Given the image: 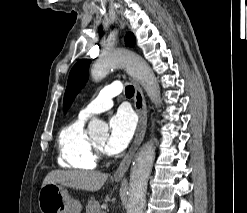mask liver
<instances>
[{
	"instance_id": "6515ba94",
	"label": "liver",
	"mask_w": 247,
	"mask_h": 213,
	"mask_svg": "<svg viewBox=\"0 0 247 213\" xmlns=\"http://www.w3.org/2000/svg\"><path fill=\"white\" fill-rule=\"evenodd\" d=\"M107 178L108 174L97 171L54 170L47 174L42 186L56 183L79 190L95 192L101 189Z\"/></svg>"
}]
</instances>
